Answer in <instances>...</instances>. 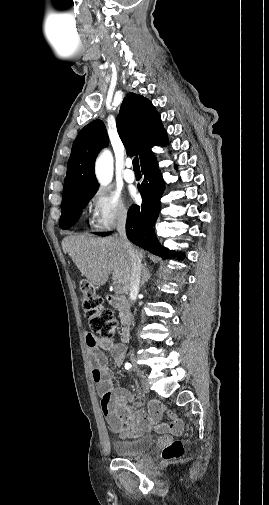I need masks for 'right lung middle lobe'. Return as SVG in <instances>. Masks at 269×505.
Listing matches in <instances>:
<instances>
[{"label": "right lung middle lobe", "mask_w": 269, "mask_h": 505, "mask_svg": "<svg viewBox=\"0 0 269 505\" xmlns=\"http://www.w3.org/2000/svg\"><path fill=\"white\" fill-rule=\"evenodd\" d=\"M96 191L97 189L87 190L63 201L59 227L62 229H68L76 223L80 217L82 209L85 208L88 201L93 197ZM98 235H107V233H98Z\"/></svg>", "instance_id": "right-lung-middle-lobe-1"}]
</instances>
